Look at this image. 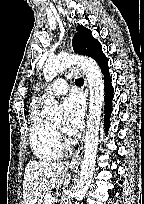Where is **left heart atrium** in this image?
Here are the masks:
<instances>
[{
	"label": "left heart atrium",
	"mask_w": 144,
	"mask_h": 204,
	"mask_svg": "<svg viewBox=\"0 0 144 204\" xmlns=\"http://www.w3.org/2000/svg\"><path fill=\"white\" fill-rule=\"evenodd\" d=\"M64 132L68 136H76L83 125L84 102L78 94L67 96L63 103Z\"/></svg>",
	"instance_id": "39dd6f15"
}]
</instances>
